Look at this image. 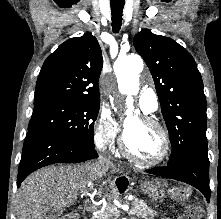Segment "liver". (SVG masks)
<instances>
[{
  "label": "liver",
  "instance_id": "liver-1",
  "mask_svg": "<svg viewBox=\"0 0 221 219\" xmlns=\"http://www.w3.org/2000/svg\"><path fill=\"white\" fill-rule=\"evenodd\" d=\"M110 167L87 162L77 166H50L36 171L23 181L18 191L17 219H46L50 210H63L73 205L79 194L85 193Z\"/></svg>",
  "mask_w": 221,
  "mask_h": 219
}]
</instances>
